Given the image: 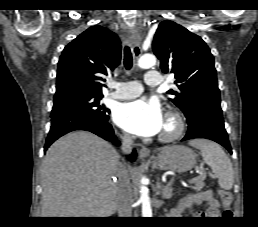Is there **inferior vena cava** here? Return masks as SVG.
<instances>
[{"label":"inferior vena cava","mask_w":258,"mask_h":227,"mask_svg":"<svg viewBox=\"0 0 258 227\" xmlns=\"http://www.w3.org/2000/svg\"><path fill=\"white\" fill-rule=\"evenodd\" d=\"M122 151L130 153L133 147L132 137L124 135L121 137ZM117 176L119 179L116 203L119 217H132V190L128 176V171L122 164L119 165Z\"/></svg>","instance_id":"obj_1"}]
</instances>
